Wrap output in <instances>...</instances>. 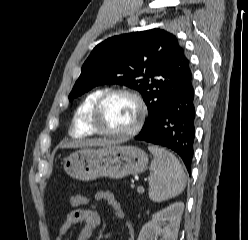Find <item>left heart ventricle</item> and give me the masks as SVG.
I'll return each mask as SVG.
<instances>
[{
    "label": "left heart ventricle",
    "mask_w": 248,
    "mask_h": 240,
    "mask_svg": "<svg viewBox=\"0 0 248 240\" xmlns=\"http://www.w3.org/2000/svg\"><path fill=\"white\" fill-rule=\"evenodd\" d=\"M138 117L135 101L126 95H114L104 104L100 127L112 132H125L133 127Z\"/></svg>",
    "instance_id": "1"
}]
</instances>
